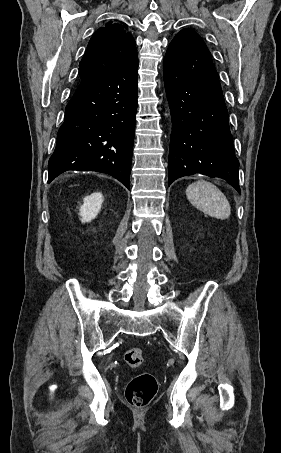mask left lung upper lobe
Here are the masks:
<instances>
[{"instance_id": "left-lung-upper-lobe-1", "label": "left lung upper lobe", "mask_w": 281, "mask_h": 453, "mask_svg": "<svg viewBox=\"0 0 281 453\" xmlns=\"http://www.w3.org/2000/svg\"><path fill=\"white\" fill-rule=\"evenodd\" d=\"M182 35L191 36V37H198V34L195 31L191 30V29L181 30L176 36H182Z\"/></svg>"}]
</instances>
